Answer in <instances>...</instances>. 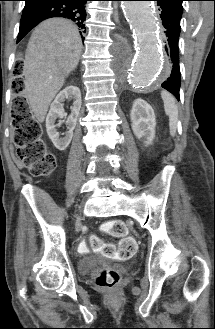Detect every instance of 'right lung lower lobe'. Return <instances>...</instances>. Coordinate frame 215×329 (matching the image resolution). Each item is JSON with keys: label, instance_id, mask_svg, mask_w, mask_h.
Instances as JSON below:
<instances>
[{"label": "right lung lower lobe", "instance_id": "1", "mask_svg": "<svg viewBox=\"0 0 215 329\" xmlns=\"http://www.w3.org/2000/svg\"><path fill=\"white\" fill-rule=\"evenodd\" d=\"M89 0H25L17 43L41 21L52 17L71 19L80 29L86 31L85 4ZM84 39V37L82 36Z\"/></svg>", "mask_w": 215, "mask_h": 329}]
</instances>
